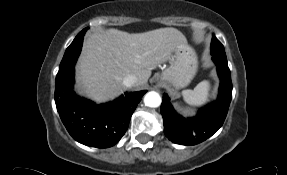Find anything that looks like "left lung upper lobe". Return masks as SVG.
I'll use <instances>...</instances> for the list:
<instances>
[{
    "label": "left lung upper lobe",
    "mask_w": 287,
    "mask_h": 175,
    "mask_svg": "<svg viewBox=\"0 0 287 175\" xmlns=\"http://www.w3.org/2000/svg\"><path fill=\"white\" fill-rule=\"evenodd\" d=\"M211 53L226 57L222 43L215 36H213L212 42H211Z\"/></svg>",
    "instance_id": "1"
}]
</instances>
